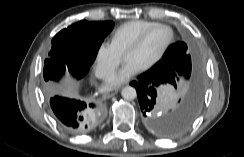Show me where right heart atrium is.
Wrapping results in <instances>:
<instances>
[{"instance_id":"obj_1","label":"right heart atrium","mask_w":244,"mask_h":157,"mask_svg":"<svg viewBox=\"0 0 244 157\" xmlns=\"http://www.w3.org/2000/svg\"><path fill=\"white\" fill-rule=\"evenodd\" d=\"M121 60L122 55L112 42H101L95 57L96 75L101 79L108 78L117 69Z\"/></svg>"}]
</instances>
